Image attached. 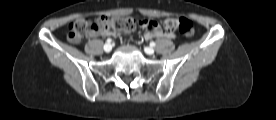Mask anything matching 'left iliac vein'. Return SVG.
I'll return each instance as SVG.
<instances>
[{
  "label": "left iliac vein",
  "mask_w": 276,
  "mask_h": 120,
  "mask_svg": "<svg viewBox=\"0 0 276 120\" xmlns=\"http://www.w3.org/2000/svg\"><path fill=\"white\" fill-rule=\"evenodd\" d=\"M144 50H145L146 54H148V55H153L155 52L154 49L151 47H146Z\"/></svg>",
  "instance_id": "obj_1"
}]
</instances>
